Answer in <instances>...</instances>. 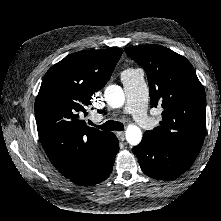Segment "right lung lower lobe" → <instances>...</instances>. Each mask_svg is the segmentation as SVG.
I'll list each match as a JSON object with an SVG mask.
<instances>
[{"label":"right lung lower lobe","mask_w":221,"mask_h":221,"mask_svg":"<svg viewBox=\"0 0 221 221\" xmlns=\"http://www.w3.org/2000/svg\"><path fill=\"white\" fill-rule=\"evenodd\" d=\"M109 143L110 154L108 157V161L104 166L94 172L69 180L75 184L87 186L98 184L107 179L112 172L114 159L119 151V142L117 137L113 133L109 134Z\"/></svg>","instance_id":"1"}]
</instances>
